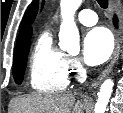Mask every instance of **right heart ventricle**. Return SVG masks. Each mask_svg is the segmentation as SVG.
Wrapping results in <instances>:
<instances>
[{
  "instance_id": "right-heart-ventricle-1",
  "label": "right heart ventricle",
  "mask_w": 123,
  "mask_h": 113,
  "mask_svg": "<svg viewBox=\"0 0 123 113\" xmlns=\"http://www.w3.org/2000/svg\"><path fill=\"white\" fill-rule=\"evenodd\" d=\"M69 82L67 56L54 46L50 32H43L36 41L30 59V85L42 93H57Z\"/></svg>"
}]
</instances>
